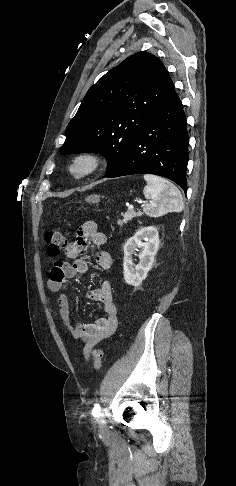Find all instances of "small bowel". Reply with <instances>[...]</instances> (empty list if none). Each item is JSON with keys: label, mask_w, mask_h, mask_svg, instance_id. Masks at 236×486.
Masks as SVG:
<instances>
[{"label": "small bowel", "mask_w": 236, "mask_h": 486, "mask_svg": "<svg viewBox=\"0 0 236 486\" xmlns=\"http://www.w3.org/2000/svg\"><path fill=\"white\" fill-rule=\"evenodd\" d=\"M106 243V235L98 231L97 224L94 221L82 223L76 239L65 248L66 258L73 261H56L48 279V288L53 292H59L57 305L61 320L72 336L83 342V353L86 360L89 359L93 347L101 340L111 336L117 328V307L113 299L111 284L105 281L98 288L88 292L87 297L90 300L102 304L105 315L87 324L75 323L72 325L70 323V302L64 291L68 288V279L85 274L88 271L87 262L79 258L85 248L89 244L105 246ZM94 261L103 270H108L112 266V258L105 250L97 253Z\"/></svg>", "instance_id": "small-bowel-1"}]
</instances>
